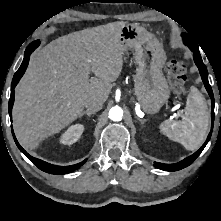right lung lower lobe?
Instances as JSON below:
<instances>
[{
	"mask_svg": "<svg viewBox=\"0 0 221 221\" xmlns=\"http://www.w3.org/2000/svg\"><path fill=\"white\" fill-rule=\"evenodd\" d=\"M39 45H40L39 40H36V41L29 44V46L26 48L25 53H24V60L21 64L20 68L18 69V71L15 73V75L13 77V80L11 83V97L9 99V107H8L10 118L12 117V106L14 103V96H15L14 88L17 85V83L19 82L20 78L23 76V74L28 66L31 52L34 51V49L37 48ZM12 134H13V138L15 140V143L18 146V148L20 149V151L23 152L39 169H41L44 172L51 173V174L70 173V172H73L74 170L78 169L79 167H81L87 161V159H85L81 163L71 165V166H56V165L49 164V163L44 162L40 159L30 156L18 143V141L14 135L13 129H12Z\"/></svg>",
	"mask_w": 221,
	"mask_h": 221,
	"instance_id": "obj_1",
	"label": "right lung lower lobe"
}]
</instances>
